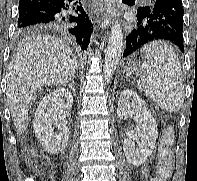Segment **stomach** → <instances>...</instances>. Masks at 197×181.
<instances>
[{
    "label": "stomach",
    "mask_w": 197,
    "mask_h": 181,
    "mask_svg": "<svg viewBox=\"0 0 197 181\" xmlns=\"http://www.w3.org/2000/svg\"><path fill=\"white\" fill-rule=\"evenodd\" d=\"M124 73L126 76H133V75H139L142 71L140 65L135 62H128L124 67H123Z\"/></svg>",
    "instance_id": "obj_1"
}]
</instances>
